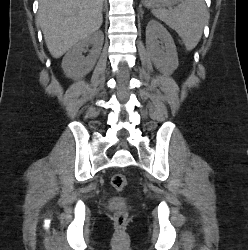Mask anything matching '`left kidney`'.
I'll return each instance as SVG.
<instances>
[{"label": "left kidney", "mask_w": 248, "mask_h": 250, "mask_svg": "<svg viewBox=\"0 0 248 250\" xmlns=\"http://www.w3.org/2000/svg\"><path fill=\"white\" fill-rule=\"evenodd\" d=\"M158 39L164 42V47H160ZM146 48L154 66L159 71L170 75L177 69L179 62L173 38L155 20H150L146 27Z\"/></svg>", "instance_id": "5707ae66"}]
</instances>
